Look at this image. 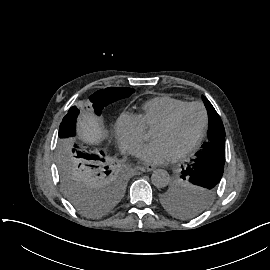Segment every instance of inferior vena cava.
I'll return each mask as SVG.
<instances>
[{
  "mask_svg": "<svg viewBox=\"0 0 270 270\" xmlns=\"http://www.w3.org/2000/svg\"><path fill=\"white\" fill-rule=\"evenodd\" d=\"M119 149H120L122 154H125L128 151L127 147L122 145V144L119 145Z\"/></svg>",
  "mask_w": 270,
  "mask_h": 270,
  "instance_id": "inferior-vena-cava-1",
  "label": "inferior vena cava"
}]
</instances>
